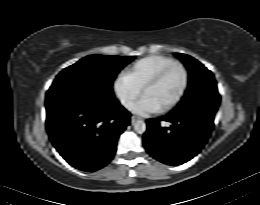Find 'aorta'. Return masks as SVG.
I'll return each mask as SVG.
<instances>
[{"label": "aorta", "mask_w": 260, "mask_h": 205, "mask_svg": "<svg viewBox=\"0 0 260 205\" xmlns=\"http://www.w3.org/2000/svg\"><path fill=\"white\" fill-rule=\"evenodd\" d=\"M133 126L134 130L138 134H143L146 131V123L142 120H137L136 122H134Z\"/></svg>", "instance_id": "obj_1"}]
</instances>
